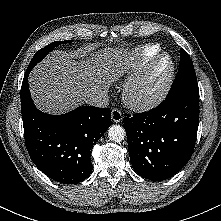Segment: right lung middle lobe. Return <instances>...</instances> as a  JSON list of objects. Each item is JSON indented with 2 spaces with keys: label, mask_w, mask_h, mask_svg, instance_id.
Instances as JSON below:
<instances>
[{
  "label": "right lung middle lobe",
  "mask_w": 221,
  "mask_h": 221,
  "mask_svg": "<svg viewBox=\"0 0 221 221\" xmlns=\"http://www.w3.org/2000/svg\"><path fill=\"white\" fill-rule=\"evenodd\" d=\"M71 42V40L69 41H56L53 42L47 46H45L44 48L40 49L33 57V59L31 60L30 64H29V68H33L38 62H40L47 54L48 52H51L52 50H54V48L58 45L64 44V43H68Z\"/></svg>",
  "instance_id": "dd1d6c3e"
}]
</instances>
